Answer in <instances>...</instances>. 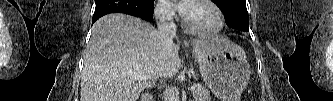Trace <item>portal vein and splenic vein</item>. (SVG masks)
<instances>
[{
	"instance_id": "portal-vein-and-splenic-vein-1",
	"label": "portal vein and splenic vein",
	"mask_w": 333,
	"mask_h": 101,
	"mask_svg": "<svg viewBox=\"0 0 333 101\" xmlns=\"http://www.w3.org/2000/svg\"><path fill=\"white\" fill-rule=\"evenodd\" d=\"M132 77H134L137 80L147 79L146 76L138 75V74H132ZM194 90H195V86L193 85V86L190 87V91H194Z\"/></svg>"
}]
</instances>
